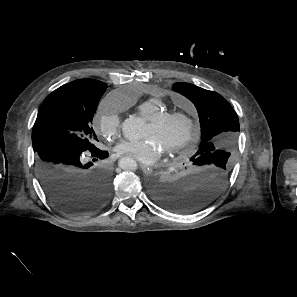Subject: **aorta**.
I'll list each match as a JSON object with an SVG mask.
<instances>
[{
	"instance_id": "762f6f07",
	"label": "aorta",
	"mask_w": 297,
	"mask_h": 297,
	"mask_svg": "<svg viewBox=\"0 0 297 297\" xmlns=\"http://www.w3.org/2000/svg\"><path fill=\"white\" fill-rule=\"evenodd\" d=\"M122 132L126 139L130 141H137L143 136L144 123L138 117H129L122 123ZM119 167L123 170H136L137 163L133 158L124 157L120 159Z\"/></svg>"
}]
</instances>
